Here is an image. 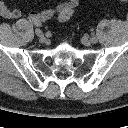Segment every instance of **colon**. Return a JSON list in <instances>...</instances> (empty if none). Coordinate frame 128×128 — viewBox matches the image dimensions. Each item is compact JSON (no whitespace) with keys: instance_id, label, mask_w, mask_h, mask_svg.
<instances>
[{"instance_id":"5ec220e1","label":"colon","mask_w":128,"mask_h":128,"mask_svg":"<svg viewBox=\"0 0 128 128\" xmlns=\"http://www.w3.org/2000/svg\"><path fill=\"white\" fill-rule=\"evenodd\" d=\"M122 1H128V0H122ZM73 14H74V8L66 7L59 12L58 19L61 22H66L73 16Z\"/></svg>"}]
</instances>
